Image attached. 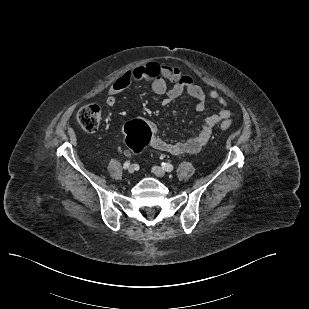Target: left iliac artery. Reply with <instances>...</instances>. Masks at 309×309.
Wrapping results in <instances>:
<instances>
[{"instance_id": "obj_1", "label": "left iliac artery", "mask_w": 309, "mask_h": 309, "mask_svg": "<svg viewBox=\"0 0 309 309\" xmlns=\"http://www.w3.org/2000/svg\"><path fill=\"white\" fill-rule=\"evenodd\" d=\"M161 166L167 172H171L174 169V166L172 164L166 162H163Z\"/></svg>"}]
</instances>
